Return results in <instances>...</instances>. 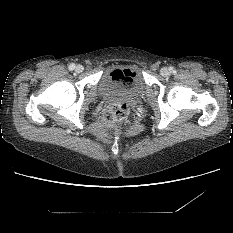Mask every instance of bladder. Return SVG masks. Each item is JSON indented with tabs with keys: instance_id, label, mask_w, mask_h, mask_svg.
<instances>
[{
	"instance_id": "1",
	"label": "bladder",
	"mask_w": 233,
	"mask_h": 233,
	"mask_svg": "<svg viewBox=\"0 0 233 233\" xmlns=\"http://www.w3.org/2000/svg\"><path fill=\"white\" fill-rule=\"evenodd\" d=\"M130 72L131 83L125 85L119 80L115 74L114 69H106L99 82V92L103 98H111L118 96H137L141 94L145 88V82L142 72L139 67L134 65H127L120 68Z\"/></svg>"
}]
</instances>
